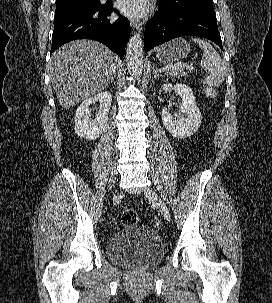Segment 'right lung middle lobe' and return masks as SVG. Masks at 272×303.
<instances>
[{
  "label": "right lung middle lobe",
  "mask_w": 272,
  "mask_h": 303,
  "mask_svg": "<svg viewBox=\"0 0 272 303\" xmlns=\"http://www.w3.org/2000/svg\"><path fill=\"white\" fill-rule=\"evenodd\" d=\"M104 5L100 0H70L56 3L55 18L83 10H99Z\"/></svg>",
  "instance_id": "1"
}]
</instances>
